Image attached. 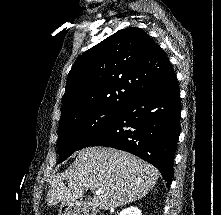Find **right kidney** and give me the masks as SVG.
I'll return each instance as SVG.
<instances>
[{"mask_svg":"<svg viewBox=\"0 0 221 215\" xmlns=\"http://www.w3.org/2000/svg\"><path fill=\"white\" fill-rule=\"evenodd\" d=\"M120 215H142L141 210L137 207H128L120 213Z\"/></svg>","mask_w":221,"mask_h":215,"instance_id":"obj_1","label":"right kidney"}]
</instances>
